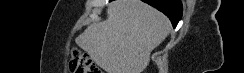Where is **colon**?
Segmentation results:
<instances>
[{
	"instance_id": "1",
	"label": "colon",
	"mask_w": 244,
	"mask_h": 73,
	"mask_svg": "<svg viewBox=\"0 0 244 73\" xmlns=\"http://www.w3.org/2000/svg\"><path fill=\"white\" fill-rule=\"evenodd\" d=\"M71 73H101V69L92 59L79 50H75L68 63Z\"/></svg>"
}]
</instances>
